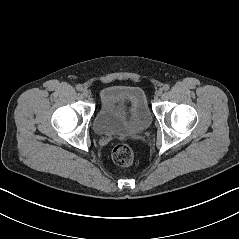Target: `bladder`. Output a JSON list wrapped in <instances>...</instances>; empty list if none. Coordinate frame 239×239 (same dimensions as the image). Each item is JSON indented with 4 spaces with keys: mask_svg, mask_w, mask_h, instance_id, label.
Segmentation results:
<instances>
[{
    "mask_svg": "<svg viewBox=\"0 0 239 239\" xmlns=\"http://www.w3.org/2000/svg\"><path fill=\"white\" fill-rule=\"evenodd\" d=\"M152 122L146 95L139 86H110L101 93L94 131L101 136L145 133Z\"/></svg>",
    "mask_w": 239,
    "mask_h": 239,
    "instance_id": "31cf9c89",
    "label": "bladder"
}]
</instances>
